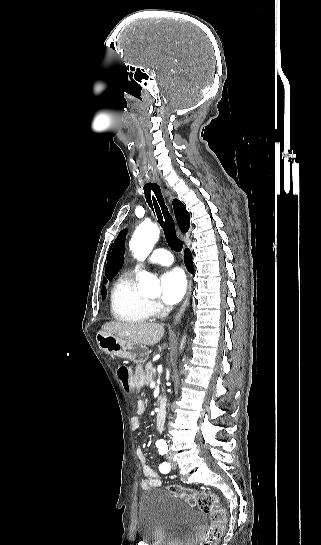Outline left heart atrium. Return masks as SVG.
I'll return each instance as SVG.
<instances>
[{"instance_id":"obj_1","label":"left heart atrium","mask_w":321,"mask_h":545,"mask_svg":"<svg viewBox=\"0 0 321 545\" xmlns=\"http://www.w3.org/2000/svg\"><path fill=\"white\" fill-rule=\"evenodd\" d=\"M162 290L161 300L167 306H173L184 296L187 281L184 274L179 269H171L164 272L160 277Z\"/></svg>"}]
</instances>
